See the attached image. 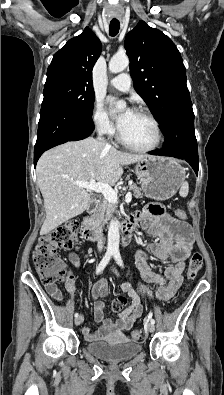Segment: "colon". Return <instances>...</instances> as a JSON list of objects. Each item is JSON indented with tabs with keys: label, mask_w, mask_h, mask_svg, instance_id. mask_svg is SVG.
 I'll return each instance as SVG.
<instances>
[{
	"label": "colon",
	"mask_w": 224,
	"mask_h": 395,
	"mask_svg": "<svg viewBox=\"0 0 224 395\" xmlns=\"http://www.w3.org/2000/svg\"><path fill=\"white\" fill-rule=\"evenodd\" d=\"M175 215L180 219H186V213L182 209H176ZM77 240V225L73 222L61 225L38 238L33 252V261L44 284L63 282L69 278L67 268L58 256L57 251L72 248L76 245ZM202 265V254L198 251L193 252L187 270L189 280L196 278ZM125 304L126 298L119 297L113 302L112 308L114 311L120 312ZM130 336L132 340L140 341L145 338V332L142 329H134Z\"/></svg>",
	"instance_id": "colon-1"
}]
</instances>
